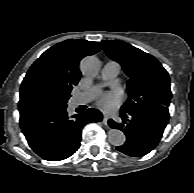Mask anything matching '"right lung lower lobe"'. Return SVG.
Returning <instances> with one entry per match:
<instances>
[{
  "mask_svg": "<svg viewBox=\"0 0 194 193\" xmlns=\"http://www.w3.org/2000/svg\"><path fill=\"white\" fill-rule=\"evenodd\" d=\"M101 120L102 114L97 109L71 117L66 107L20 113V126L29 146L49 161L63 160L74 154L80 147L83 127Z\"/></svg>",
  "mask_w": 194,
  "mask_h": 193,
  "instance_id": "98d812e1",
  "label": "right lung lower lobe"
}]
</instances>
